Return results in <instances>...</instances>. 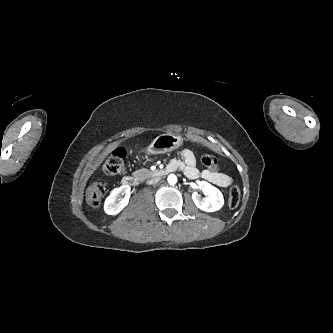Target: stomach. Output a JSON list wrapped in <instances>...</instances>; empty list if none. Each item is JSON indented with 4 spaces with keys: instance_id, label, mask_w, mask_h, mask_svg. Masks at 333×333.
<instances>
[{
    "instance_id": "0dacf381",
    "label": "stomach",
    "mask_w": 333,
    "mask_h": 333,
    "mask_svg": "<svg viewBox=\"0 0 333 333\" xmlns=\"http://www.w3.org/2000/svg\"><path fill=\"white\" fill-rule=\"evenodd\" d=\"M182 145V138L173 133L159 135L147 149L148 154H163L178 149Z\"/></svg>"
}]
</instances>
